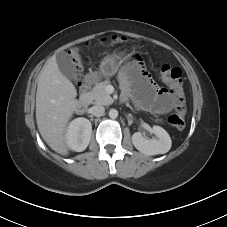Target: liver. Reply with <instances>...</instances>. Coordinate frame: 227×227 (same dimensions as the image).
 I'll return each mask as SVG.
<instances>
[{"mask_svg":"<svg viewBox=\"0 0 227 227\" xmlns=\"http://www.w3.org/2000/svg\"><path fill=\"white\" fill-rule=\"evenodd\" d=\"M76 96L75 86L60 71L56 56H52L38 77L36 122L48 146L63 156L69 153L65 130L78 106Z\"/></svg>","mask_w":227,"mask_h":227,"instance_id":"1","label":"liver"}]
</instances>
